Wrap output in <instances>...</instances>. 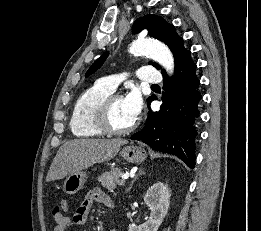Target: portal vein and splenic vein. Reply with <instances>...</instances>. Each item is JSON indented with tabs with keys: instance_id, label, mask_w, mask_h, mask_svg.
<instances>
[{
	"instance_id": "portal-vein-and-splenic-vein-1",
	"label": "portal vein and splenic vein",
	"mask_w": 261,
	"mask_h": 231,
	"mask_svg": "<svg viewBox=\"0 0 261 231\" xmlns=\"http://www.w3.org/2000/svg\"><path fill=\"white\" fill-rule=\"evenodd\" d=\"M124 182H125V178H122L121 184H124Z\"/></svg>"
}]
</instances>
